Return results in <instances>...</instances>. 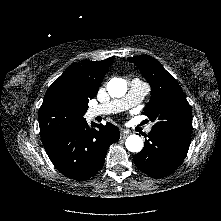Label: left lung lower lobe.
<instances>
[{
  "label": "left lung lower lobe",
  "mask_w": 221,
  "mask_h": 221,
  "mask_svg": "<svg viewBox=\"0 0 221 221\" xmlns=\"http://www.w3.org/2000/svg\"><path fill=\"white\" fill-rule=\"evenodd\" d=\"M146 137L143 150L133 160L141 171L154 178L175 171L184 161L191 141V136L153 129Z\"/></svg>",
  "instance_id": "obj_1"
}]
</instances>
